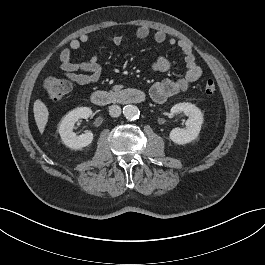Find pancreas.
Masks as SVG:
<instances>
[{
    "instance_id": "obj_1",
    "label": "pancreas",
    "mask_w": 265,
    "mask_h": 265,
    "mask_svg": "<svg viewBox=\"0 0 265 265\" xmlns=\"http://www.w3.org/2000/svg\"><path fill=\"white\" fill-rule=\"evenodd\" d=\"M115 89H116V90H119L120 88L117 86V87H115Z\"/></svg>"
}]
</instances>
